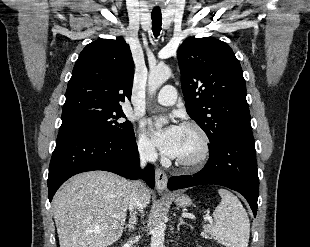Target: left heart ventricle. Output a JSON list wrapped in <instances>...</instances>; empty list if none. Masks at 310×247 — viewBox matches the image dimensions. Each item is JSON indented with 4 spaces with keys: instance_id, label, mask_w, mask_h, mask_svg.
<instances>
[{
    "instance_id": "1",
    "label": "left heart ventricle",
    "mask_w": 310,
    "mask_h": 247,
    "mask_svg": "<svg viewBox=\"0 0 310 247\" xmlns=\"http://www.w3.org/2000/svg\"><path fill=\"white\" fill-rule=\"evenodd\" d=\"M200 149L201 141L199 135L191 129L182 128L176 158H192L200 152Z\"/></svg>"
}]
</instances>
